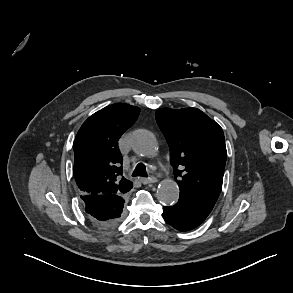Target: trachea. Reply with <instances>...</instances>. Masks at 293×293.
<instances>
[{
	"label": "trachea",
	"instance_id": "3493384b",
	"mask_svg": "<svg viewBox=\"0 0 293 293\" xmlns=\"http://www.w3.org/2000/svg\"><path fill=\"white\" fill-rule=\"evenodd\" d=\"M132 176L147 177L146 167L143 163H139L133 171Z\"/></svg>",
	"mask_w": 293,
	"mask_h": 293
}]
</instances>
